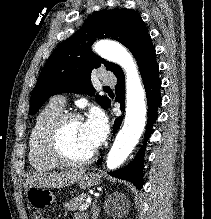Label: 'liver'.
Returning <instances> with one entry per match:
<instances>
[{"label": "liver", "instance_id": "liver-1", "mask_svg": "<svg viewBox=\"0 0 211 219\" xmlns=\"http://www.w3.org/2000/svg\"><path fill=\"white\" fill-rule=\"evenodd\" d=\"M84 170H70L60 173L34 174L27 178V187L61 188L77 182Z\"/></svg>", "mask_w": 211, "mask_h": 219}]
</instances>
